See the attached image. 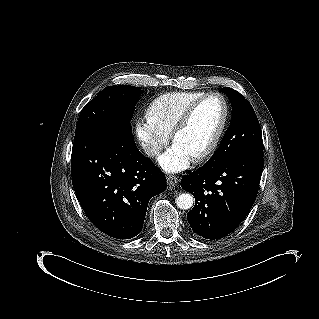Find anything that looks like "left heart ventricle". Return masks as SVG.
<instances>
[{"mask_svg":"<svg viewBox=\"0 0 319 319\" xmlns=\"http://www.w3.org/2000/svg\"><path fill=\"white\" fill-rule=\"evenodd\" d=\"M222 116V104L212 98L195 108L177 135V143L192 153L202 150L215 134Z\"/></svg>","mask_w":319,"mask_h":319,"instance_id":"obj_1","label":"left heart ventricle"}]
</instances>
